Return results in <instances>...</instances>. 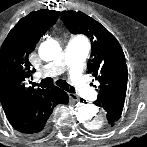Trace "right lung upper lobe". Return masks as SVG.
<instances>
[{"mask_svg":"<svg viewBox=\"0 0 147 147\" xmlns=\"http://www.w3.org/2000/svg\"><path fill=\"white\" fill-rule=\"evenodd\" d=\"M58 17L56 11L31 12L15 25L3 43L0 50V102L7 118L23 111L44 91L24 85V80L33 72L28 55Z\"/></svg>","mask_w":147,"mask_h":147,"instance_id":"obj_1","label":"right lung upper lobe"}]
</instances>
